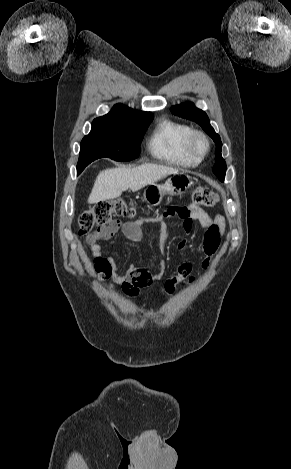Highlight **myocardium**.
Segmentation results:
<instances>
[{"label": "myocardium", "mask_w": 291, "mask_h": 469, "mask_svg": "<svg viewBox=\"0 0 291 469\" xmlns=\"http://www.w3.org/2000/svg\"><path fill=\"white\" fill-rule=\"evenodd\" d=\"M199 141H202L205 145L204 150L202 151H199L197 148V144ZM185 146H186V150L188 154L191 157L199 161L204 159L207 156L211 148V144H210V140L208 136L205 133L198 131V130H193L191 132V134L188 136L186 140Z\"/></svg>", "instance_id": "f54148a6"}]
</instances>
